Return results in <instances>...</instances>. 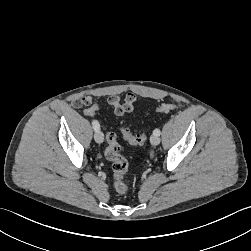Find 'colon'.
<instances>
[{
    "instance_id": "5ec220e1",
    "label": "colon",
    "mask_w": 251,
    "mask_h": 251,
    "mask_svg": "<svg viewBox=\"0 0 251 251\" xmlns=\"http://www.w3.org/2000/svg\"><path fill=\"white\" fill-rule=\"evenodd\" d=\"M102 111V108H98V104L95 107L87 108L83 112V117L90 118L91 122H96L95 110ZM176 109V105L173 103H163L156 111L161 113H167ZM99 127H104V122H99ZM120 131L126 141L132 145H143L147 140L146 133H132L128 128L121 127ZM107 147L105 149V157L111 162L113 172V187L118 194H125L128 191V185L124 180V174L128 169V162L120 152V145L117 142L116 135L112 132L106 135Z\"/></svg>"
}]
</instances>
